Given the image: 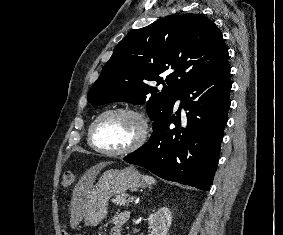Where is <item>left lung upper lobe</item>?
Listing matches in <instances>:
<instances>
[{
  "label": "left lung upper lobe",
  "mask_w": 283,
  "mask_h": 235,
  "mask_svg": "<svg viewBox=\"0 0 283 235\" xmlns=\"http://www.w3.org/2000/svg\"><path fill=\"white\" fill-rule=\"evenodd\" d=\"M228 58L221 31L207 17L192 13L167 16L118 43L87 100L93 106L146 102L155 129L171 114L186 83ZM168 69L172 71L165 78L159 76ZM159 84L162 89L156 87Z\"/></svg>",
  "instance_id": "left-lung-upper-lobe-1"
}]
</instances>
